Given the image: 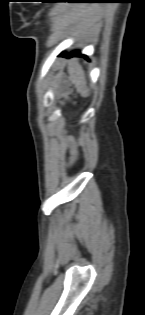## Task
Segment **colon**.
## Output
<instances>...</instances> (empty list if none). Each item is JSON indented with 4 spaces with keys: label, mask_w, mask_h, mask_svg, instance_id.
<instances>
[{
    "label": "colon",
    "mask_w": 145,
    "mask_h": 315,
    "mask_svg": "<svg viewBox=\"0 0 145 315\" xmlns=\"http://www.w3.org/2000/svg\"><path fill=\"white\" fill-rule=\"evenodd\" d=\"M70 74L71 76H76L77 75V69L75 67V65H72L71 68H70Z\"/></svg>",
    "instance_id": "colon-1"
}]
</instances>
